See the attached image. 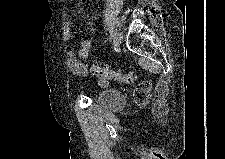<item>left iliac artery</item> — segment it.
I'll return each mask as SVG.
<instances>
[{"instance_id": "left-iliac-artery-1", "label": "left iliac artery", "mask_w": 225, "mask_h": 159, "mask_svg": "<svg viewBox=\"0 0 225 159\" xmlns=\"http://www.w3.org/2000/svg\"><path fill=\"white\" fill-rule=\"evenodd\" d=\"M114 32H115V29L114 28H111L110 31H109V40L113 43L115 41V36H114Z\"/></svg>"}]
</instances>
